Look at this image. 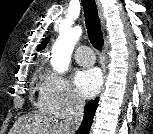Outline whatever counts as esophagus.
<instances>
[{
    "label": "esophagus",
    "instance_id": "esophagus-1",
    "mask_svg": "<svg viewBox=\"0 0 153 134\" xmlns=\"http://www.w3.org/2000/svg\"><path fill=\"white\" fill-rule=\"evenodd\" d=\"M95 1H96V4H97V7H98L99 18H100L101 24L103 26L104 23H105V18H104V13H103V6H102L100 0H95Z\"/></svg>",
    "mask_w": 153,
    "mask_h": 134
}]
</instances>
